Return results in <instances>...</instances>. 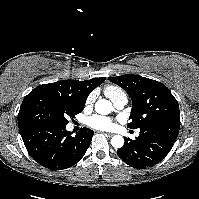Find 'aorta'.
Instances as JSON below:
<instances>
[{"instance_id":"762f6f07","label":"aorta","mask_w":199,"mask_h":199,"mask_svg":"<svg viewBox=\"0 0 199 199\" xmlns=\"http://www.w3.org/2000/svg\"><path fill=\"white\" fill-rule=\"evenodd\" d=\"M95 110L98 114L108 115L112 112V103L106 99H100L95 103ZM111 145L114 148H121L124 145V138L121 135H115L111 138Z\"/></svg>"}]
</instances>
